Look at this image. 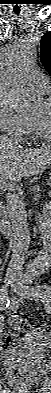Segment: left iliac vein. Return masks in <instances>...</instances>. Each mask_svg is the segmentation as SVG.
Wrapping results in <instances>:
<instances>
[{
	"mask_svg": "<svg viewBox=\"0 0 51 393\" xmlns=\"http://www.w3.org/2000/svg\"><path fill=\"white\" fill-rule=\"evenodd\" d=\"M12 289L19 295L20 297H31L32 295L29 294V296L25 292V288L23 285L20 284H13Z\"/></svg>",
	"mask_w": 51,
	"mask_h": 393,
	"instance_id": "left-iliac-vein-1",
	"label": "left iliac vein"
}]
</instances>
